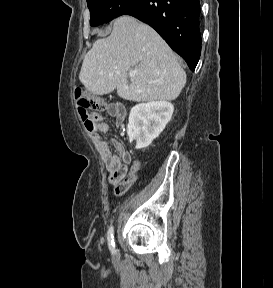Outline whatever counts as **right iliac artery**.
I'll use <instances>...</instances> for the list:
<instances>
[{
  "instance_id": "obj_1",
  "label": "right iliac artery",
  "mask_w": 273,
  "mask_h": 288,
  "mask_svg": "<svg viewBox=\"0 0 273 288\" xmlns=\"http://www.w3.org/2000/svg\"><path fill=\"white\" fill-rule=\"evenodd\" d=\"M107 240H108V245L109 249L112 253H115V242H114V228L113 226L109 227L108 233H107Z\"/></svg>"
}]
</instances>
